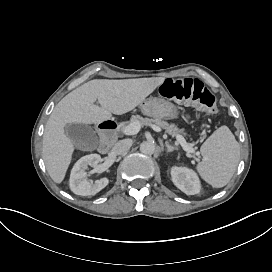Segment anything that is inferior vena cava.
<instances>
[{"label":"inferior vena cava","mask_w":272,"mask_h":272,"mask_svg":"<svg viewBox=\"0 0 272 272\" xmlns=\"http://www.w3.org/2000/svg\"><path fill=\"white\" fill-rule=\"evenodd\" d=\"M131 143L127 140L118 141L112 148V153L115 155L125 154L130 149Z\"/></svg>","instance_id":"obj_1"}]
</instances>
